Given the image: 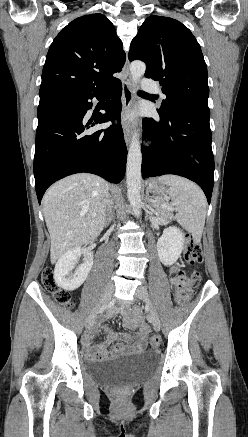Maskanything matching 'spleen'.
<instances>
[{"label": "spleen", "instance_id": "obj_1", "mask_svg": "<svg viewBox=\"0 0 248 437\" xmlns=\"http://www.w3.org/2000/svg\"><path fill=\"white\" fill-rule=\"evenodd\" d=\"M159 181L170 186L168 196L172 200V206H175L177 222L199 242L205 224L207 205L203 191L194 182L180 176L164 175Z\"/></svg>", "mask_w": 248, "mask_h": 437}]
</instances>
